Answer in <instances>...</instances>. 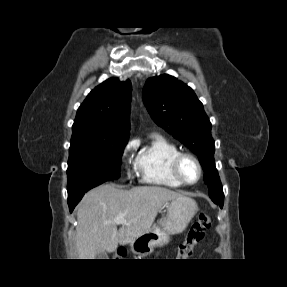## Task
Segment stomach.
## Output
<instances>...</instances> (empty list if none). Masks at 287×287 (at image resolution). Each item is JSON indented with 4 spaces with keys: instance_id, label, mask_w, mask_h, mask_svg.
Masks as SVG:
<instances>
[{
    "instance_id": "1",
    "label": "stomach",
    "mask_w": 287,
    "mask_h": 287,
    "mask_svg": "<svg viewBox=\"0 0 287 287\" xmlns=\"http://www.w3.org/2000/svg\"><path fill=\"white\" fill-rule=\"evenodd\" d=\"M198 211L196 202L187 196L171 200L167 204V214L159 226L145 231L130 243L133 253L150 254L156 246L168 244L170 235L183 232Z\"/></svg>"
}]
</instances>
